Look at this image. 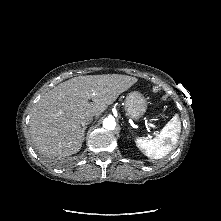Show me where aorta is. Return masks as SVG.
I'll return each instance as SVG.
<instances>
[{
    "label": "aorta",
    "mask_w": 221,
    "mask_h": 221,
    "mask_svg": "<svg viewBox=\"0 0 221 221\" xmlns=\"http://www.w3.org/2000/svg\"><path fill=\"white\" fill-rule=\"evenodd\" d=\"M116 126L114 118L108 117L103 121V127L107 130H114Z\"/></svg>",
    "instance_id": "762f6f07"
}]
</instances>
